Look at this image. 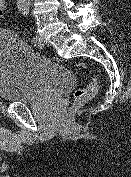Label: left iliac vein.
<instances>
[{
    "mask_svg": "<svg viewBox=\"0 0 131 177\" xmlns=\"http://www.w3.org/2000/svg\"><path fill=\"white\" fill-rule=\"evenodd\" d=\"M36 37L38 39L37 47L42 48L44 46V43H45L43 37L40 34H38V33L36 34Z\"/></svg>",
    "mask_w": 131,
    "mask_h": 177,
    "instance_id": "obj_1",
    "label": "left iliac vein"
}]
</instances>
